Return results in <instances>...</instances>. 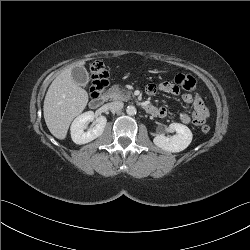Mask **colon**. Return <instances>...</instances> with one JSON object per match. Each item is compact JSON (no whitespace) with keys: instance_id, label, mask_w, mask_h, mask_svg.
Masks as SVG:
<instances>
[{"instance_id":"obj_1","label":"colon","mask_w":250,"mask_h":250,"mask_svg":"<svg viewBox=\"0 0 250 250\" xmlns=\"http://www.w3.org/2000/svg\"><path fill=\"white\" fill-rule=\"evenodd\" d=\"M91 73V86L90 93L92 97L99 96L103 90L107 87L109 83V73L102 61H94L90 66ZM173 84L178 85L179 88L193 93L196 91V80L193 76L176 73L172 76ZM201 130L203 133H208L210 131V126L207 124L202 125Z\"/></svg>"}]
</instances>
